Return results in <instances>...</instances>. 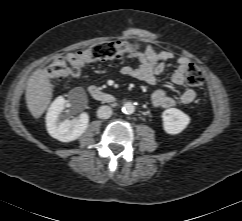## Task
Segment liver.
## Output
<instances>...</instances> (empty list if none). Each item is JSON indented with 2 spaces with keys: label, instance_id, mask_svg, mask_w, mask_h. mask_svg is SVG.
<instances>
[{
  "label": "liver",
  "instance_id": "obj_1",
  "mask_svg": "<svg viewBox=\"0 0 242 221\" xmlns=\"http://www.w3.org/2000/svg\"><path fill=\"white\" fill-rule=\"evenodd\" d=\"M53 92V85L46 69H37L27 81L26 103L27 107L36 119L40 118L47 109Z\"/></svg>",
  "mask_w": 242,
  "mask_h": 221
}]
</instances>
